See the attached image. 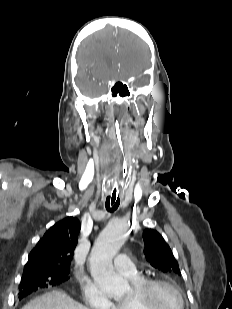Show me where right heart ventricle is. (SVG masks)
Instances as JSON below:
<instances>
[{"instance_id":"1","label":"right heart ventricle","mask_w":232,"mask_h":309,"mask_svg":"<svg viewBox=\"0 0 232 309\" xmlns=\"http://www.w3.org/2000/svg\"><path fill=\"white\" fill-rule=\"evenodd\" d=\"M128 279L131 281L133 287L135 288L140 285L145 278L138 274L135 277H128ZM113 309H139V307L133 302L130 296L121 301L113 303Z\"/></svg>"}]
</instances>
